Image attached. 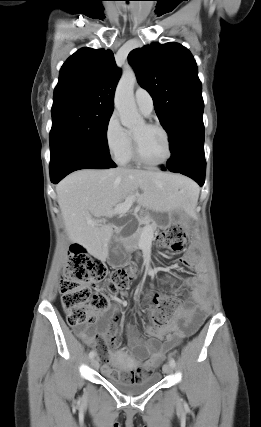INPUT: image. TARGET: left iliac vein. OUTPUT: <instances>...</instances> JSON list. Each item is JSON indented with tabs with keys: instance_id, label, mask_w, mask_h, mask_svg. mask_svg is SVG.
<instances>
[{
	"instance_id": "left-iliac-vein-1",
	"label": "left iliac vein",
	"mask_w": 261,
	"mask_h": 427,
	"mask_svg": "<svg viewBox=\"0 0 261 427\" xmlns=\"http://www.w3.org/2000/svg\"><path fill=\"white\" fill-rule=\"evenodd\" d=\"M173 371V367L170 364L163 365V372L166 374H171Z\"/></svg>"
}]
</instances>
